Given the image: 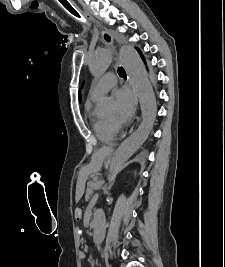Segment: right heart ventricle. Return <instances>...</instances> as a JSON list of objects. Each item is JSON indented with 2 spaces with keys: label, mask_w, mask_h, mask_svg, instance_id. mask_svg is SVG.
Segmentation results:
<instances>
[{
  "label": "right heart ventricle",
  "mask_w": 225,
  "mask_h": 267,
  "mask_svg": "<svg viewBox=\"0 0 225 267\" xmlns=\"http://www.w3.org/2000/svg\"><path fill=\"white\" fill-rule=\"evenodd\" d=\"M90 119L93 131L98 139L103 142H110L113 139L115 132L110 128L109 122L97 115L95 111H91Z\"/></svg>",
  "instance_id": "1"
}]
</instances>
